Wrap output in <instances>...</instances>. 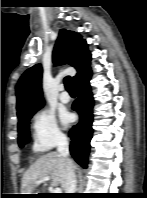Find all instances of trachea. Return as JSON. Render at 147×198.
<instances>
[{"label":"trachea","instance_id":"3493384b","mask_svg":"<svg viewBox=\"0 0 147 198\" xmlns=\"http://www.w3.org/2000/svg\"><path fill=\"white\" fill-rule=\"evenodd\" d=\"M64 85H65V88L67 91H69V92L75 91V88H74V85H73V82H72V79L70 76H66L64 78Z\"/></svg>","mask_w":147,"mask_h":198}]
</instances>
